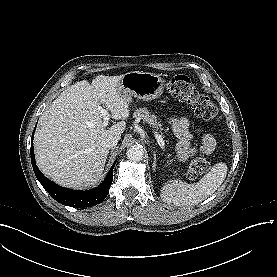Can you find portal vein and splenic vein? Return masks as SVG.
<instances>
[{"label":"portal vein and splenic vein","mask_w":277,"mask_h":277,"mask_svg":"<svg viewBox=\"0 0 277 277\" xmlns=\"http://www.w3.org/2000/svg\"><path fill=\"white\" fill-rule=\"evenodd\" d=\"M98 109L100 110V113L103 116L102 127L105 128L108 125V122H109V119H110V114L105 109H103L102 107H99ZM154 135H155V138L157 140V143L163 149L164 146H165L163 138L157 132H155Z\"/></svg>","instance_id":"1"}]
</instances>
